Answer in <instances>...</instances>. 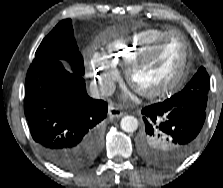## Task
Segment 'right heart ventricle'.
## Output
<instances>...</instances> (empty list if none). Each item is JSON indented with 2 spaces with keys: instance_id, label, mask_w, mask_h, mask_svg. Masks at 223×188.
<instances>
[{
  "instance_id": "e07e8e85",
  "label": "right heart ventricle",
  "mask_w": 223,
  "mask_h": 188,
  "mask_svg": "<svg viewBox=\"0 0 223 188\" xmlns=\"http://www.w3.org/2000/svg\"><path fill=\"white\" fill-rule=\"evenodd\" d=\"M171 30L148 28L128 37L114 39L105 46V57L114 66L126 68L163 34Z\"/></svg>"
}]
</instances>
